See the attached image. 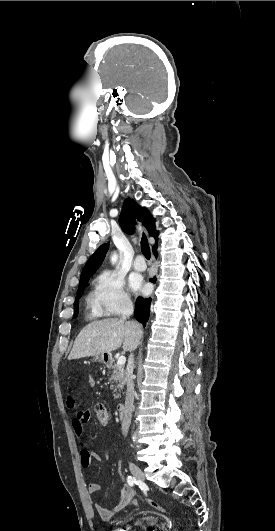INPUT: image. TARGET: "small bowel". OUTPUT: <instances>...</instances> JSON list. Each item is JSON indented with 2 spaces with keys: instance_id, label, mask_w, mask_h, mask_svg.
Instances as JSON below:
<instances>
[{
  "instance_id": "small-bowel-1",
  "label": "small bowel",
  "mask_w": 275,
  "mask_h": 531,
  "mask_svg": "<svg viewBox=\"0 0 275 531\" xmlns=\"http://www.w3.org/2000/svg\"><path fill=\"white\" fill-rule=\"evenodd\" d=\"M85 380L86 382L91 383L93 382L94 377L93 375L88 374L86 375ZM92 388H95V385H92ZM89 420H90V413L87 410L77 412L71 420V427L75 435L79 439L80 444L83 447L81 450L80 456H81V463L84 467H88L91 464L92 460H97V461L103 460V457L99 453L93 450H89L84 447L85 446L84 428H85V425L89 422ZM99 488H100V485L96 482H90L87 485V491L90 494L97 492ZM134 494H135V490L129 485H125L122 489L120 500L115 504L113 508L107 509V508L102 507L98 503H92V506L102 520L108 521L111 518H113L115 514L120 512L125 507L127 506L136 507L137 506V502L133 500Z\"/></svg>"
}]
</instances>
